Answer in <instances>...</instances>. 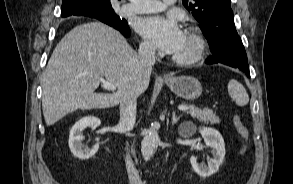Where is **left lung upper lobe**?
Listing matches in <instances>:
<instances>
[{
	"mask_svg": "<svg viewBox=\"0 0 293 184\" xmlns=\"http://www.w3.org/2000/svg\"><path fill=\"white\" fill-rule=\"evenodd\" d=\"M199 22L213 55H220V44L229 35H238L234 25L231 0H182Z\"/></svg>",
	"mask_w": 293,
	"mask_h": 184,
	"instance_id": "5c2ea615",
	"label": "left lung upper lobe"
}]
</instances>
